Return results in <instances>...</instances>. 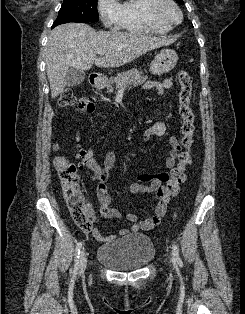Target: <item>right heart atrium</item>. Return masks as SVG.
<instances>
[{
    "instance_id": "obj_1",
    "label": "right heart atrium",
    "mask_w": 245,
    "mask_h": 314,
    "mask_svg": "<svg viewBox=\"0 0 245 314\" xmlns=\"http://www.w3.org/2000/svg\"><path fill=\"white\" fill-rule=\"evenodd\" d=\"M97 10L105 26L117 27L119 15L117 0H97Z\"/></svg>"
}]
</instances>
